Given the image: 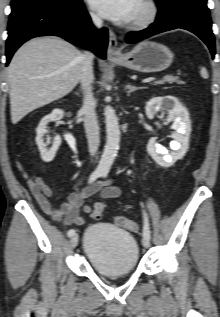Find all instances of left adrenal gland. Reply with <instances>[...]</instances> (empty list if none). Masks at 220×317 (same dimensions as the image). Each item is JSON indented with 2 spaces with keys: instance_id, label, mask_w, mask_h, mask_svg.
<instances>
[{
  "instance_id": "a2214340",
  "label": "left adrenal gland",
  "mask_w": 220,
  "mask_h": 317,
  "mask_svg": "<svg viewBox=\"0 0 220 317\" xmlns=\"http://www.w3.org/2000/svg\"><path fill=\"white\" fill-rule=\"evenodd\" d=\"M137 89H140V88L135 87L131 84H128L125 86V90H127V95H130L131 92L136 91Z\"/></svg>"
}]
</instances>
